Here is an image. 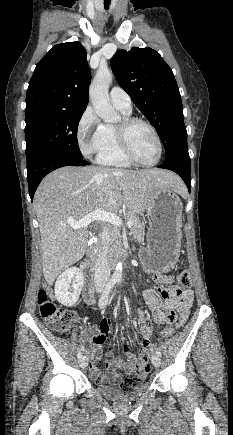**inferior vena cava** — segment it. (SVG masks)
Listing matches in <instances>:
<instances>
[{"instance_id": "inferior-vena-cava-1", "label": "inferior vena cava", "mask_w": 233, "mask_h": 435, "mask_svg": "<svg viewBox=\"0 0 233 435\" xmlns=\"http://www.w3.org/2000/svg\"><path fill=\"white\" fill-rule=\"evenodd\" d=\"M101 250L97 254L94 273V285L96 289H103L110 277V268L107 259V243L109 240V232L105 228L100 234Z\"/></svg>"}]
</instances>
